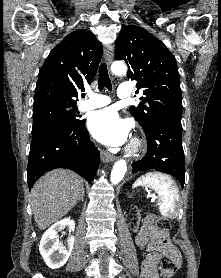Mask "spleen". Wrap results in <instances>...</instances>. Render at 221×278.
Returning <instances> with one entry per match:
<instances>
[{
    "label": "spleen",
    "instance_id": "obj_1",
    "mask_svg": "<svg viewBox=\"0 0 221 278\" xmlns=\"http://www.w3.org/2000/svg\"><path fill=\"white\" fill-rule=\"evenodd\" d=\"M145 186L158 193L159 211L162 216L174 219L177 216L176 203L179 201V189L175 182L166 174L148 172L139 177L133 187Z\"/></svg>",
    "mask_w": 221,
    "mask_h": 278
}]
</instances>
